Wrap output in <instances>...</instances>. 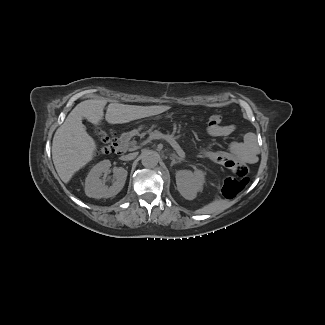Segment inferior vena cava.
<instances>
[{
    "instance_id": "inferior-vena-cava-1",
    "label": "inferior vena cava",
    "mask_w": 325,
    "mask_h": 325,
    "mask_svg": "<svg viewBox=\"0 0 325 325\" xmlns=\"http://www.w3.org/2000/svg\"><path fill=\"white\" fill-rule=\"evenodd\" d=\"M134 158H136V153H130L121 157V159L124 161L133 160Z\"/></svg>"
}]
</instances>
